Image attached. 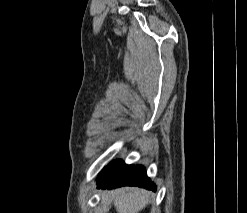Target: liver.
I'll return each instance as SVG.
<instances>
[{
  "mask_svg": "<svg viewBox=\"0 0 247 213\" xmlns=\"http://www.w3.org/2000/svg\"><path fill=\"white\" fill-rule=\"evenodd\" d=\"M117 213H139L149 203L148 194L139 188H120L109 193Z\"/></svg>",
  "mask_w": 247,
  "mask_h": 213,
  "instance_id": "liver-1",
  "label": "liver"
}]
</instances>
